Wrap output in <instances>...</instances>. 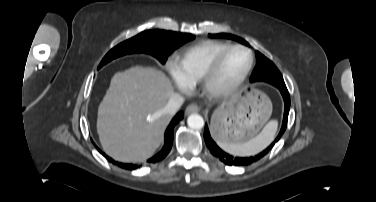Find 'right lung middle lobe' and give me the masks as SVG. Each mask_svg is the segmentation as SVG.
Wrapping results in <instances>:
<instances>
[{
    "label": "right lung middle lobe",
    "mask_w": 376,
    "mask_h": 202,
    "mask_svg": "<svg viewBox=\"0 0 376 202\" xmlns=\"http://www.w3.org/2000/svg\"><path fill=\"white\" fill-rule=\"evenodd\" d=\"M188 33L164 30H148L126 40L111 49L101 61L99 68L114 58L130 53H148L164 64L168 56L184 43L194 39Z\"/></svg>",
    "instance_id": "1"
}]
</instances>
